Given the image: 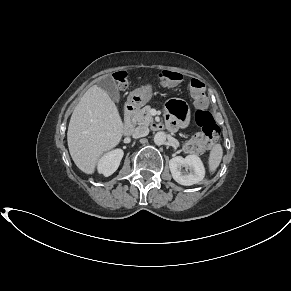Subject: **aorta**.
<instances>
[{
    "label": "aorta",
    "mask_w": 291,
    "mask_h": 291,
    "mask_svg": "<svg viewBox=\"0 0 291 291\" xmlns=\"http://www.w3.org/2000/svg\"><path fill=\"white\" fill-rule=\"evenodd\" d=\"M166 141V134L164 132H157L154 136V142L156 145H162Z\"/></svg>",
    "instance_id": "aorta-1"
}]
</instances>
